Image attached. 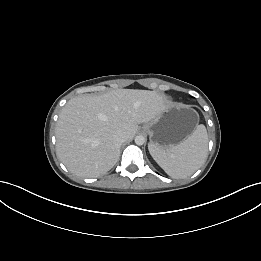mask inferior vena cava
I'll list each match as a JSON object with an SVG mask.
<instances>
[{"label": "inferior vena cava", "instance_id": "inferior-vena-cava-1", "mask_svg": "<svg viewBox=\"0 0 261 261\" xmlns=\"http://www.w3.org/2000/svg\"><path fill=\"white\" fill-rule=\"evenodd\" d=\"M114 139L119 143L122 144L123 142L126 141V134L122 131H117L114 134Z\"/></svg>", "mask_w": 261, "mask_h": 261}]
</instances>
